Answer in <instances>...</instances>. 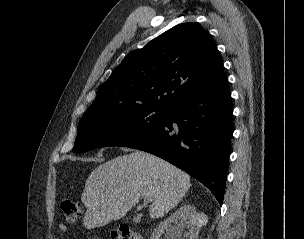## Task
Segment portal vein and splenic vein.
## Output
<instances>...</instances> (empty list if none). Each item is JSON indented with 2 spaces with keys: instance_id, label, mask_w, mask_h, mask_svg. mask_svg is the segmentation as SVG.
<instances>
[{
  "instance_id": "1",
  "label": "portal vein and splenic vein",
  "mask_w": 304,
  "mask_h": 239,
  "mask_svg": "<svg viewBox=\"0 0 304 239\" xmlns=\"http://www.w3.org/2000/svg\"><path fill=\"white\" fill-rule=\"evenodd\" d=\"M150 200L148 198H144V203H148Z\"/></svg>"
}]
</instances>
